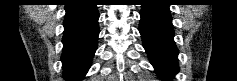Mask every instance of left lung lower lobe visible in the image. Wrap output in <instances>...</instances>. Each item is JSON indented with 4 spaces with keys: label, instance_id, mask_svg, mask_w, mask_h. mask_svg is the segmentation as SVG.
<instances>
[{
    "label": "left lung lower lobe",
    "instance_id": "left-lung-lower-lobe-1",
    "mask_svg": "<svg viewBox=\"0 0 237 81\" xmlns=\"http://www.w3.org/2000/svg\"><path fill=\"white\" fill-rule=\"evenodd\" d=\"M139 31L156 73L164 79L172 78L178 72V49L173 40L169 4L162 1L143 4Z\"/></svg>",
    "mask_w": 237,
    "mask_h": 81
}]
</instances>
